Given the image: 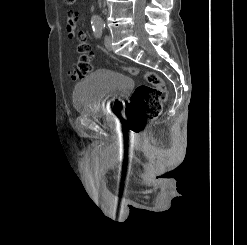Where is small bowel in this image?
<instances>
[{
    "label": "small bowel",
    "instance_id": "1",
    "mask_svg": "<svg viewBox=\"0 0 247 245\" xmlns=\"http://www.w3.org/2000/svg\"><path fill=\"white\" fill-rule=\"evenodd\" d=\"M67 29H68V37L70 39L73 38H85V34L82 32L77 31V14L73 10L68 11V23H67Z\"/></svg>",
    "mask_w": 247,
    "mask_h": 245
}]
</instances>
